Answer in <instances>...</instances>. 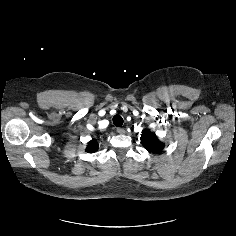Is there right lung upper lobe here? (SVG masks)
<instances>
[{
    "label": "right lung upper lobe",
    "instance_id": "obj_1",
    "mask_svg": "<svg viewBox=\"0 0 236 236\" xmlns=\"http://www.w3.org/2000/svg\"><path fill=\"white\" fill-rule=\"evenodd\" d=\"M98 150V144L95 142V140L89 142L86 151L89 153L95 152Z\"/></svg>",
    "mask_w": 236,
    "mask_h": 236
}]
</instances>
